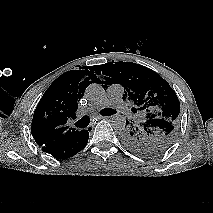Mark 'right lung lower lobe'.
Returning a JSON list of instances; mask_svg holds the SVG:
<instances>
[{
    "mask_svg": "<svg viewBox=\"0 0 213 213\" xmlns=\"http://www.w3.org/2000/svg\"><path fill=\"white\" fill-rule=\"evenodd\" d=\"M89 139V132L82 130L79 134L69 142L56 146L54 148H42V150L58 160H63L74 156L80 152L86 145Z\"/></svg>",
    "mask_w": 213,
    "mask_h": 213,
    "instance_id": "right-lung-lower-lobe-1",
    "label": "right lung lower lobe"
}]
</instances>
